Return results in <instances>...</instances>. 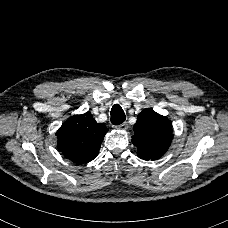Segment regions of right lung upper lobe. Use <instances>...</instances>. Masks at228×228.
<instances>
[{"label": "right lung upper lobe", "instance_id": "obj_1", "mask_svg": "<svg viewBox=\"0 0 228 228\" xmlns=\"http://www.w3.org/2000/svg\"><path fill=\"white\" fill-rule=\"evenodd\" d=\"M107 132L106 126L97 123L90 112L74 115L56 133L58 149L74 163L90 162L98 155Z\"/></svg>", "mask_w": 228, "mask_h": 228}]
</instances>
